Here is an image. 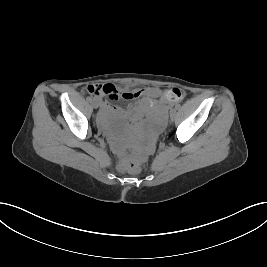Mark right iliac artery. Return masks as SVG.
I'll list each match as a JSON object with an SVG mask.
<instances>
[{
    "mask_svg": "<svg viewBox=\"0 0 267 267\" xmlns=\"http://www.w3.org/2000/svg\"><path fill=\"white\" fill-rule=\"evenodd\" d=\"M86 100H87L88 102H91V101H92L91 97H87Z\"/></svg>",
    "mask_w": 267,
    "mask_h": 267,
    "instance_id": "obj_1",
    "label": "right iliac artery"
}]
</instances>
